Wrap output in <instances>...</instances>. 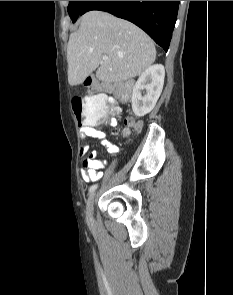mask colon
<instances>
[{"mask_svg":"<svg viewBox=\"0 0 233 295\" xmlns=\"http://www.w3.org/2000/svg\"><path fill=\"white\" fill-rule=\"evenodd\" d=\"M86 86L89 91L88 96L86 98L75 97L72 100V109L79 124H93L115 113L116 109L109 104L106 94L128 97L132 94L135 83L133 81L98 83L89 79L86 81ZM125 123L128 126L127 134L130 130H138L140 127V124L132 118L126 119Z\"/></svg>","mask_w":233,"mask_h":295,"instance_id":"1","label":"colon"}]
</instances>
